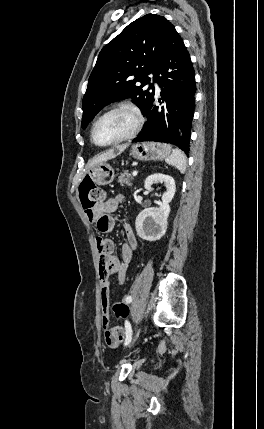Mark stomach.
I'll return each mask as SVG.
<instances>
[{
	"instance_id": "obj_1",
	"label": "stomach",
	"mask_w": 264,
	"mask_h": 429,
	"mask_svg": "<svg viewBox=\"0 0 264 429\" xmlns=\"http://www.w3.org/2000/svg\"><path fill=\"white\" fill-rule=\"evenodd\" d=\"M171 153V146L159 142H140L131 147L130 154L137 160L150 161L167 158ZM91 180L98 185H105L114 179V170L106 162L90 167L88 174Z\"/></svg>"
}]
</instances>
